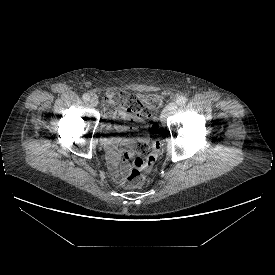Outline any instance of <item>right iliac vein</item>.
Here are the masks:
<instances>
[{
	"instance_id": "63e3f726",
	"label": "right iliac vein",
	"mask_w": 275,
	"mask_h": 275,
	"mask_svg": "<svg viewBox=\"0 0 275 275\" xmlns=\"http://www.w3.org/2000/svg\"><path fill=\"white\" fill-rule=\"evenodd\" d=\"M89 103H90L91 106L95 107V106L98 105V99L96 97H91L89 99Z\"/></svg>"
}]
</instances>
